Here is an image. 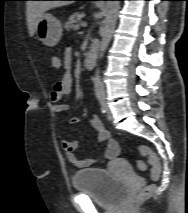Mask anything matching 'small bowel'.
<instances>
[{
    "instance_id": "obj_1",
    "label": "small bowel",
    "mask_w": 188,
    "mask_h": 213,
    "mask_svg": "<svg viewBox=\"0 0 188 213\" xmlns=\"http://www.w3.org/2000/svg\"><path fill=\"white\" fill-rule=\"evenodd\" d=\"M55 57L59 63L60 67L63 66L68 70L72 63V49L66 48L63 54L62 60ZM72 91V76L69 71H66L61 79L54 85L53 90L50 93V99L53 102V112L56 114H61L69 109V104L67 100ZM80 121L79 117L70 118V123H78ZM90 125L95 129L97 140L99 142H106L107 146L104 154L100 158H88L81 159L76 155V150L79 147L78 140H62V146L65 151L67 159L79 168H88L99 161H113L115 160L119 153L120 147L116 140L111 138L110 132L105 127L104 123L97 117H91L89 119Z\"/></svg>"
}]
</instances>
